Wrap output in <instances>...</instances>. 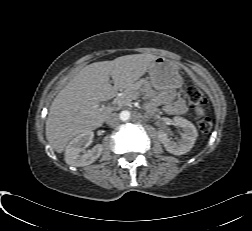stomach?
<instances>
[{"label": "stomach", "instance_id": "obj_1", "mask_svg": "<svg viewBox=\"0 0 252 231\" xmlns=\"http://www.w3.org/2000/svg\"><path fill=\"white\" fill-rule=\"evenodd\" d=\"M149 75L151 85L158 91H175L182 86L177 68L163 57L154 60Z\"/></svg>", "mask_w": 252, "mask_h": 231}]
</instances>
